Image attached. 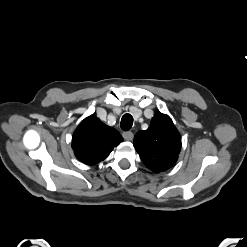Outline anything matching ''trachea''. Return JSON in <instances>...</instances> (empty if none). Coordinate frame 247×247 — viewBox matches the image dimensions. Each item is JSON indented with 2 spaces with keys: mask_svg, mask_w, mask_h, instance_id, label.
Wrapping results in <instances>:
<instances>
[{
  "mask_svg": "<svg viewBox=\"0 0 247 247\" xmlns=\"http://www.w3.org/2000/svg\"><path fill=\"white\" fill-rule=\"evenodd\" d=\"M133 125V117L130 114L123 115L121 119V129L124 131H128L131 129Z\"/></svg>",
  "mask_w": 247,
  "mask_h": 247,
  "instance_id": "obj_1",
  "label": "trachea"
}]
</instances>
